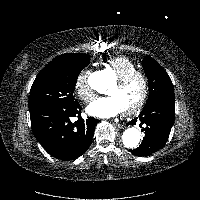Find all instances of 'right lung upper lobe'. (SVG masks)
Masks as SVG:
<instances>
[{
	"label": "right lung upper lobe",
	"mask_w": 200,
	"mask_h": 200,
	"mask_svg": "<svg viewBox=\"0 0 200 200\" xmlns=\"http://www.w3.org/2000/svg\"><path fill=\"white\" fill-rule=\"evenodd\" d=\"M68 54V53H67ZM67 54H63V55H60V56H57L56 58H54L51 62L49 63H53V62H56L57 60H59L60 58L66 56Z\"/></svg>",
	"instance_id": "right-lung-upper-lobe-1"
}]
</instances>
